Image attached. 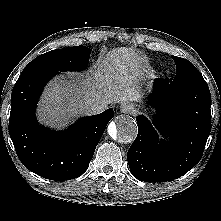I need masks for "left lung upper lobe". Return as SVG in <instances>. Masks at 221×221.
Returning <instances> with one entry per match:
<instances>
[{"mask_svg": "<svg viewBox=\"0 0 221 221\" xmlns=\"http://www.w3.org/2000/svg\"><path fill=\"white\" fill-rule=\"evenodd\" d=\"M172 58L176 63L177 73L170 85L179 86L205 82L200 72L190 61L177 56H172Z\"/></svg>", "mask_w": 221, "mask_h": 221, "instance_id": "5c2ea615", "label": "left lung upper lobe"}]
</instances>
